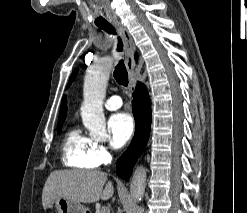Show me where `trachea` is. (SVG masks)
Instances as JSON below:
<instances>
[{"mask_svg":"<svg viewBox=\"0 0 247 213\" xmlns=\"http://www.w3.org/2000/svg\"><path fill=\"white\" fill-rule=\"evenodd\" d=\"M99 28L103 29L109 34H116L114 28L110 24L99 25ZM122 50H123V43H122V40L118 38L117 51L122 52ZM113 76L118 84L125 86V87L128 86V82H129L128 72L126 70L123 59H121L116 65Z\"/></svg>","mask_w":247,"mask_h":213,"instance_id":"1","label":"trachea"}]
</instances>
